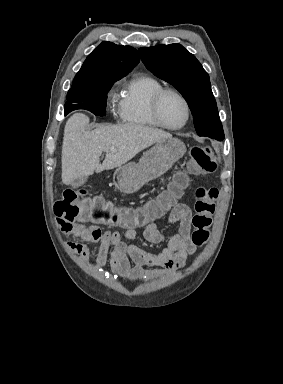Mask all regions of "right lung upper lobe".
Segmentation results:
<instances>
[{
  "instance_id": "obj_1",
  "label": "right lung upper lobe",
  "mask_w": 283,
  "mask_h": 384,
  "mask_svg": "<svg viewBox=\"0 0 283 384\" xmlns=\"http://www.w3.org/2000/svg\"><path fill=\"white\" fill-rule=\"evenodd\" d=\"M138 62L133 47L102 42L85 60L71 89L114 83L126 76Z\"/></svg>"
}]
</instances>
